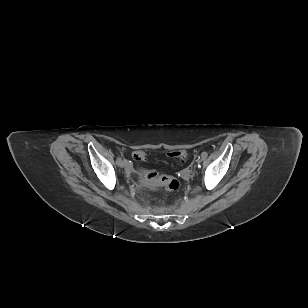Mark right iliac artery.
Instances as JSON below:
<instances>
[{
    "label": "right iliac artery",
    "instance_id": "right-iliac-artery-1",
    "mask_svg": "<svg viewBox=\"0 0 308 308\" xmlns=\"http://www.w3.org/2000/svg\"><path fill=\"white\" fill-rule=\"evenodd\" d=\"M120 161H121V158L118 157L117 160H116V163L118 164Z\"/></svg>",
    "mask_w": 308,
    "mask_h": 308
}]
</instances>
